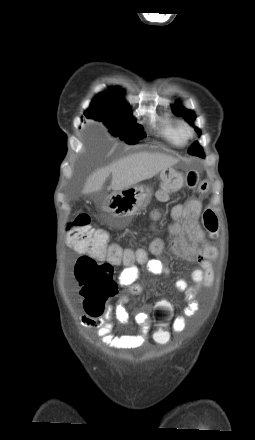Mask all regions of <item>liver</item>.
<instances>
[{
	"label": "liver",
	"instance_id": "liver-1",
	"mask_svg": "<svg viewBox=\"0 0 255 440\" xmlns=\"http://www.w3.org/2000/svg\"><path fill=\"white\" fill-rule=\"evenodd\" d=\"M178 163V159L160 153L140 152L124 157L92 173L82 190L83 194L98 192L106 178L112 174L111 189L121 191L150 179L165 168Z\"/></svg>",
	"mask_w": 255,
	"mask_h": 440
}]
</instances>
